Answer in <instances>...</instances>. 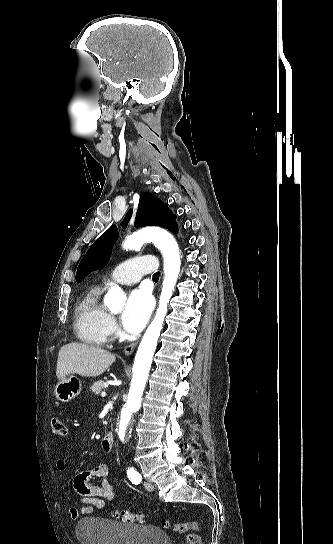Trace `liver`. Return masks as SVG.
<instances>
[{"instance_id":"obj_1","label":"liver","mask_w":333,"mask_h":544,"mask_svg":"<svg viewBox=\"0 0 333 544\" xmlns=\"http://www.w3.org/2000/svg\"><path fill=\"white\" fill-rule=\"evenodd\" d=\"M115 359L114 354L102 348L84 343H69L59 350L56 376L59 380L71 373L96 377L104 373Z\"/></svg>"}]
</instances>
